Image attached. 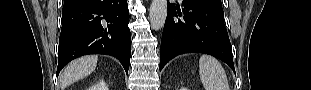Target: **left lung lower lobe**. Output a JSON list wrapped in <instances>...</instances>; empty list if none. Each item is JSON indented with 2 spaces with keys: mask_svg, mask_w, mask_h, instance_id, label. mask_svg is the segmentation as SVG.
Wrapping results in <instances>:
<instances>
[{
  "mask_svg": "<svg viewBox=\"0 0 311 90\" xmlns=\"http://www.w3.org/2000/svg\"><path fill=\"white\" fill-rule=\"evenodd\" d=\"M182 5L181 12L180 7L168 4L160 48V71L180 54L205 53L221 59L235 72L222 9L200 0H183Z\"/></svg>",
  "mask_w": 311,
  "mask_h": 90,
  "instance_id": "left-lung-lower-lobe-1",
  "label": "left lung lower lobe"
}]
</instances>
